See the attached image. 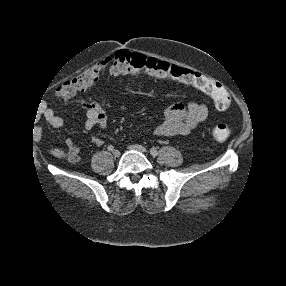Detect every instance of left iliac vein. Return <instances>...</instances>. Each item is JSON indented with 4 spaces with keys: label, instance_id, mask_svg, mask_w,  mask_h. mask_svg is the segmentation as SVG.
<instances>
[{
    "label": "left iliac vein",
    "instance_id": "obj_1",
    "mask_svg": "<svg viewBox=\"0 0 286 286\" xmlns=\"http://www.w3.org/2000/svg\"><path fill=\"white\" fill-rule=\"evenodd\" d=\"M129 148L136 150V151H139V152L144 153V154L148 153V150L142 145H138V144L130 145Z\"/></svg>",
    "mask_w": 286,
    "mask_h": 286
}]
</instances>
